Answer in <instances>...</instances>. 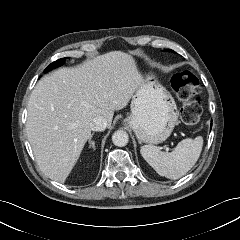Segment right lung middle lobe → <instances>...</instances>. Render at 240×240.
Here are the masks:
<instances>
[{
  "mask_svg": "<svg viewBox=\"0 0 240 240\" xmlns=\"http://www.w3.org/2000/svg\"><path fill=\"white\" fill-rule=\"evenodd\" d=\"M65 60H66V58H62V59H59V60L51 63V64L45 69V71H50V70H52V69H54V68H57V67L63 65V64L65 63Z\"/></svg>",
  "mask_w": 240,
  "mask_h": 240,
  "instance_id": "right-lung-middle-lobe-1",
  "label": "right lung middle lobe"
}]
</instances>
